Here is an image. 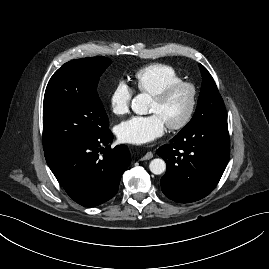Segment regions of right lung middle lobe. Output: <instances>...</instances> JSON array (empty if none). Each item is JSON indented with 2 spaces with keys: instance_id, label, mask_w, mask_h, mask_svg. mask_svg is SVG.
I'll list each match as a JSON object with an SVG mask.
<instances>
[{
  "instance_id": "1",
  "label": "right lung middle lobe",
  "mask_w": 269,
  "mask_h": 269,
  "mask_svg": "<svg viewBox=\"0 0 269 269\" xmlns=\"http://www.w3.org/2000/svg\"><path fill=\"white\" fill-rule=\"evenodd\" d=\"M106 57L69 61L48 82L43 102V149L56 151L103 135L109 120L97 94Z\"/></svg>"
}]
</instances>
